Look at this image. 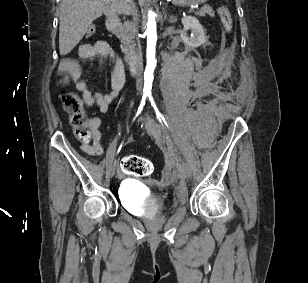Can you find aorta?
<instances>
[{
  "label": "aorta",
  "instance_id": "obj_1",
  "mask_svg": "<svg viewBox=\"0 0 308 283\" xmlns=\"http://www.w3.org/2000/svg\"><path fill=\"white\" fill-rule=\"evenodd\" d=\"M155 16L156 15L154 12H148L147 28L145 32L147 35V65L144 72L145 87H151L154 78V70L156 67L155 47L157 32Z\"/></svg>",
  "mask_w": 308,
  "mask_h": 283
}]
</instances>
